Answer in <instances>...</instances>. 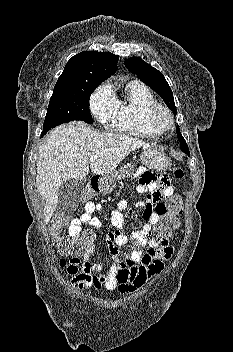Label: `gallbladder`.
Instances as JSON below:
<instances>
[{
	"label": "gallbladder",
	"mask_w": 233,
	"mask_h": 352,
	"mask_svg": "<svg viewBox=\"0 0 233 352\" xmlns=\"http://www.w3.org/2000/svg\"><path fill=\"white\" fill-rule=\"evenodd\" d=\"M86 184L80 180H66L58 189L57 212L60 215L71 214L78 207Z\"/></svg>",
	"instance_id": "bac80fb5"
}]
</instances>
